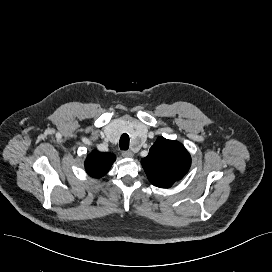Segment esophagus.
<instances>
[{
	"label": "esophagus",
	"instance_id": "1",
	"mask_svg": "<svg viewBox=\"0 0 272 272\" xmlns=\"http://www.w3.org/2000/svg\"><path fill=\"white\" fill-rule=\"evenodd\" d=\"M122 156L125 158H132L134 155L131 151H123Z\"/></svg>",
	"mask_w": 272,
	"mask_h": 272
}]
</instances>
